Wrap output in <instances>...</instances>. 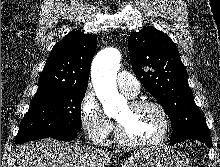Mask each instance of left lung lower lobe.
Masks as SVG:
<instances>
[{
  "instance_id": "1",
  "label": "left lung lower lobe",
  "mask_w": 220,
  "mask_h": 167,
  "mask_svg": "<svg viewBox=\"0 0 220 167\" xmlns=\"http://www.w3.org/2000/svg\"><path fill=\"white\" fill-rule=\"evenodd\" d=\"M187 139H193V140H199L203 143H205L209 148L211 147V138L210 136H196V137H191V138H187ZM187 139L184 140H178V141H171L170 144H178L180 142H183Z\"/></svg>"
}]
</instances>
